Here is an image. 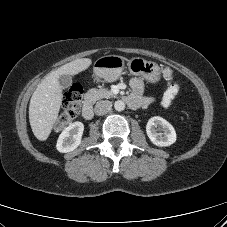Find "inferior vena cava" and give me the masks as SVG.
<instances>
[{
	"mask_svg": "<svg viewBox=\"0 0 227 227\" xmlns=\"http://www.w3.org/2000/svg\"><path fill=\"white\" fill-rule=\"evenodd\" d=\"M112 108V103L108 100L99 101L96 103L94 111L96 115H104L108 113Z\"/></svg>",
	"mask_w": 227,
	"mask_h": 227,
	"instance_id": "1",
	"label": "inferior vena cava"
}]
</instances>
